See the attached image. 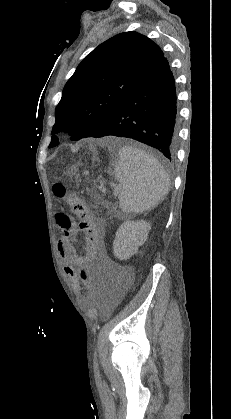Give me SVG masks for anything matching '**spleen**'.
Listing matches in <instances>:
<instances>
[{
    "label": "spleen",
    "mask_w": 231,
    "mask_h": 419,
    "mask_svg": "<svg viewBox=\"0 0 231 419\" xmlns=\"http://www.w3.org/2000/svg\"><path fill=\"white\" fill-rule=\"evenodd\" d=\"M114 167L119 181L118 199L124 213H143L154 208L169 192V178L163 166L151 154L123 146Z\"/></svg>",
    "instance_id": "3e777b00"
}]
</instances>
